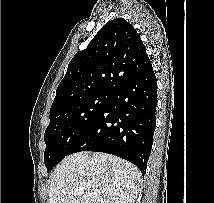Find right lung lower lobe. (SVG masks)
Returning a JSON list of instances; mask_svg holds the SVG:
<instances>
[{
  "instance_id": "obj_1",
  "label": "right lung lower lobe",
  "mask_w": 214,
  "mask_h": 203,
  "mask_svg": "<svg viewBox=\"0 0 214 203\" xmlns=\"http://www.w3.org/2000/svg\"><path fill=\"white\" fill-rule=\"evenodd\" d=\"M156 107L157 81L151 68L109 93L105 107L70 154H113L135 164L144 175L153 142Z\"/></svg>"
}]
</instances>
